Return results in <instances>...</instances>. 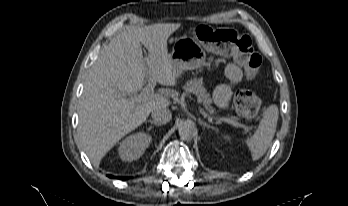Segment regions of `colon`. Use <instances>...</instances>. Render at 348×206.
<instances>
[{"instance_id": "1", "label": "colon", "mask_w": 348, "mask_h": 206, "mask_svg": "<svg viewBox=\"0 0 348 206\" xmlns=\"http://www.w3.org/2000/svg\"><path fill=\"white\" fill-rule=\"evenodd\" d=\"M191 36L213 48L222 55L233 57L244 67L247 76L258 75L262 64L261 57L255 53L249 36L228 28H215L200 25L190 32ZM236 112L243 118H256L263 107L262 99L249 90H238L234 96Z\"/></svg>"}]
</instances>
